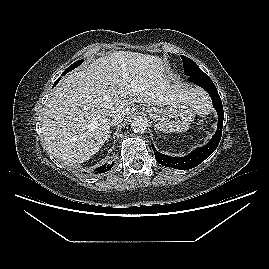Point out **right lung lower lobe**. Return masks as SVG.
I'll return each instance as SVG.
<instances>
[{
	"mask_svg": "<svg viewBox=\"0 0 269 269\" xmlns=\"http://www.w3.org/2000/svg\"><path fill=\"white\" fill-rule=\"evenodd\" d=\"M64 74H66L65 71L63 72L62 75H64ZM59 80H60V78L56 80V82L53 85L54 87L57 85V83H58ZM112 166H113V163L112 164H109V165L100 166L99 168L95 169V172L96 173L107 172V171H109L112 168Z\"/></svg>",
	"mask_w": 269,
	"mask_h": 269,
	"instance_id": "98d812e1",
	"label": "right lung lower lobe"
}]
</instances>
